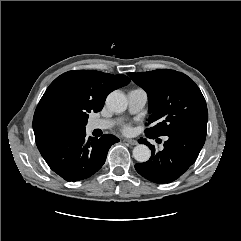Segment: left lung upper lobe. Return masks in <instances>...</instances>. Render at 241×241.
<instances>
[{
    "mask_svg": "<svg viewBox=\"0 0 241 241\" xmlns=\"http://www.w3.org/2000/svg\"><path fill=\"white\" fill-rule=\"evenodd\" d=\"M128 76L148 94L146 135L168 136L192 129H207L206 101L195 82L174 70L160 69ZM148 125V124H146Z\"/></svg>",
    "mask_w": 241,
    "mask_h": 241,
    "instance_id": "1",
    "label": "left lung upper lobe"
}]
</instances>
